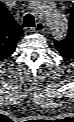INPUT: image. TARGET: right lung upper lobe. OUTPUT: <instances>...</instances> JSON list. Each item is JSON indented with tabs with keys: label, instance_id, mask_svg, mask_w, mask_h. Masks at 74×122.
<instances>
[{
	"label": "right lung upper lobe",
	"instance_id": "right-lung-upper-lobe-1",
	"mask_svg": "<svg viewBox=\"0 0 74 122\" xmlns=\"http://www.w3.org/2000/svg\"><path fill=\"white\" fill-rule=\"evenodd\" d=\"M20 36H23L22 29L8 10L0 4V61L11 56Z\"/></svg>",
	"mask_w": 74,
	"mask_h": 122
}]
</instances>
